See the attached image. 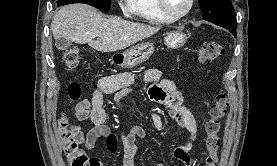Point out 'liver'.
Listing matches in <instances>:
<instances>
[{
    "instance_id": "6515ba94",
    "label": "liver",
    "mask_w": 277,
    "mask_h": 166,
    "mask_svg": "<svg viewBox=\"0 0 277 166\" xmlns=\"http://www.w3.org/2000/svg\"><path fill=\"white\" fill-rule=\"evenodd\" d=\"M161 29L134 23L119 17L106 18L87 4H70L57 11L51 23L55 40L66 39L77 44H86L97 51L123 50ZM94 40V38H96Z\"/></svg>"
}]
</instances>
